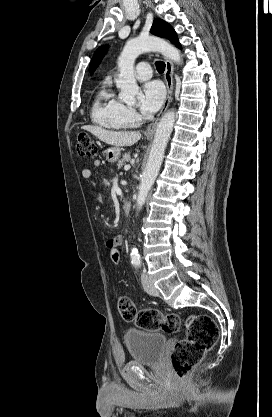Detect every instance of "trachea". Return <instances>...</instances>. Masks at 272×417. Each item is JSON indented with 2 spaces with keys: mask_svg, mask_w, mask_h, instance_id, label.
Returning <instances> with one entry per match:
<instances>
[{
  "mask_svg": "<svg viewBox=\"0 0 272 417\" xmlns=\"http://www.w3.org/2000/svg\"><path fill=\"white\" fill-rule=\"evenodd\" d=\"M155 65H156V69H157L158 72H160V73L164 72V70H165V63L164 62L157 61L155 63Z\"/></svg>",
  "mask_w": 272,
  "mask_h": 417,
  "instance_id": "obj_1",
  "label": "trachea"
}]
</instances>
